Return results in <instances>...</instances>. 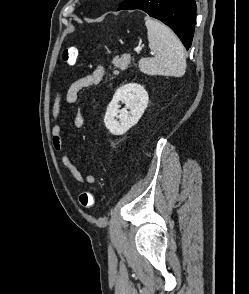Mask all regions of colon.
<instances>
[{
    "label": "colon",
    "instance_id": "colon-1",
    "mask_svg": "<svg viewBox=\"0 0 249 294\" xmlns=\"http://www.w3.org/2000/svg\"><path fill=\"white\" fill-rule=\"evenodd\" d=\"M79 50L76 47H65L62 51V60L64 63L74 65L78 59ZM81 207L90 209L94 206L95 197L92 192L83 191L79 196Z\"/></svg>",
    "mask_w": 249,
    "mask_h": 294
}]
</instances>
